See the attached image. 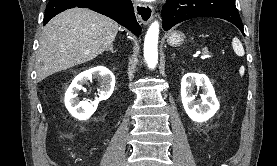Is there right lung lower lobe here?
Instances as JSON below:
<instances>
[{
	"mask_svg": "<svg viewBox=\"0 0 277 166\" xmlns=\"http://www.w3.org/2000/svg\"><path fill=\"white\" fill-rule=\"evenodd\" d=\"M76 6L90 8L114 19L135 35L141 34L131 0H50L44 14V25L60 12Z\"/></svg>",
	"mask_w": 277,
	"mask_h": 166,
	"instance_id": "obj_1",
	"label": "right lung lower lobe"
}]
</instances>
